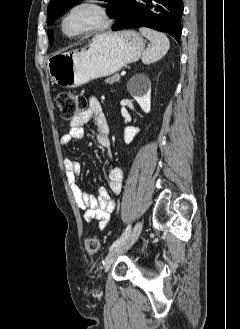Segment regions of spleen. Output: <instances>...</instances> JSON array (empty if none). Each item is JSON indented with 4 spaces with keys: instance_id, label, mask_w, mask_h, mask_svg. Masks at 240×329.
Wrapping results in <instances>:
<instances>
[{
    "instance_id": "spleen-1",
    "label": "spleen",
    "mask_w": 240,
    "mask_h": 329,
    "mask_svg": "<svg viewBox=\"0 0 240 329\" xmlns=\"http://www.w3.org/2000/svg\"><path fill=\"white\" fill-rule=\"evenodd\" d=\"M139 30L151 44L142 54V62L149 65L161 59L168 52L170 41L164 33L153 29L140 28Z\"/></svg>"
}]
</instances>
